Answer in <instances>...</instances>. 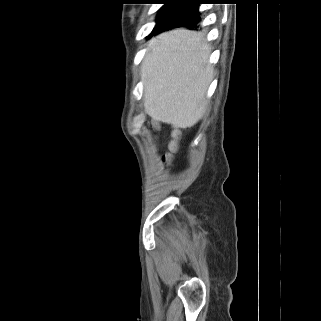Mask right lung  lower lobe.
I'll return each mask as SVG.
<instances>
[{
    "label": "right lung lower lobe",
    "instance_id": "obj_1",
    "mask_svg": "<svg viewBox=\"0 0 321 321\" xmlns=\"http://www.w3.org/2000/svg\"><path fill=\"white\" fill-rule=\"evenodd\" d=\"M199 22L200 13L198 11V3L177 6L163 17L152 34L156 35L176 27L195 28Z\"/></svg>",
    "mask_w": 321,
    "mask_h": 321
}]
</instances>
